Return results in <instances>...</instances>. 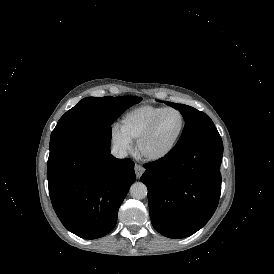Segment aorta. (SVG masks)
I'll return each mask as SVG.
<instances>
[{
    "mask_svg": "<svg viewBox=\"0 0 274 274\" xmlns=\"http://www.w3.org/2000/svg\"><path fill=\"white\" fill-rule=\"evenodd\" d=\"M148 190L142 182H135L130 187V195L135 199H144L147 196Z\"/></svg>",
    "mask_w": 274,
    "mask_h": 274,
    "instance_id": "aorta-1",
    "label": "aorta"
}]
</instances>
